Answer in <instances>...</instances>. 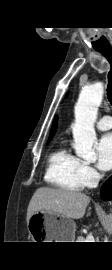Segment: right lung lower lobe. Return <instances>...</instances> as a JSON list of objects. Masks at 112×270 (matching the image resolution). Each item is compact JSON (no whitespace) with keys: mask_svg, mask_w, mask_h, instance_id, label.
Listing matches in <instances>:
<instances>
[{"mask_svg":"<svg viewBox=\"0 0 112 270\" xmlns=\"http://www.w3.org/2000/svg\"><path fill=\"white\" fill-rule=\"evenodd\" d=\"M101 198L108 201L112 199V176L104 183L101 188Z\"/></svg>","mask_w":112,"mask_h":270,"instance_id":"right-lung-lower-lobe-1","label":"right lung lower lobe"}]
</instances>
